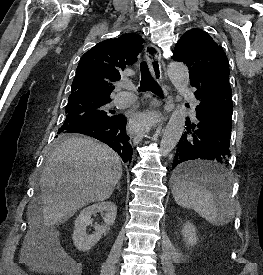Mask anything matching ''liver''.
Here are the masks:
<instances>
[{
	"instance_id": "1",
	"label": "liver",
	"mask_w": 263,
	"mask_h": 275,
	"mask_svg": "<svg viewBox=\"0 0 263 275\" xmlns=\"http://www.w3.org/2000/svg\"><path fill=\"white\" fill-rule=\"evenodd\" d=\"M121 176L120 158L111 148L89 138H69L47 160L40 198L28 213L46 227L62 224L85 205L108 199Z\"/></svg>"
}]
</instances>
